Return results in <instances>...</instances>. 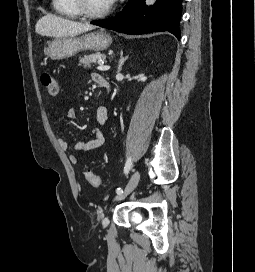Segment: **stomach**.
Here are the masks:
<instances>
[{
	"mask_svg": "<svg viewBox=\"0 0 255 272\" xmlns=\"http://www.w3.org/2000/svg\"><path fill=\"white\" fill-rule=\"evenodd\" d=\"M111 43V36L106 31L99 30L80 37L57 38L47 47V53L51 59L59 60L74 56L84 50L102 51L107 49Z\"/></svg>",
	"mask_w": 255,
	"mask_h": 272,
	"instance_id": "stomach-1",
	"label": "stomach"
}]
</instances>
